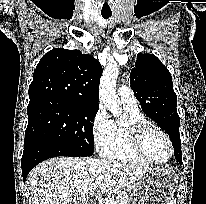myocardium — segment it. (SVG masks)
Masks as SVG:
<instances>
[{"instance_id": "1", "label": "myocardium", "mask_w": 206, "mask_h": 204, "mask_svg": "<svg viewBox=\"0 0 206 204\" xmlns=\"http://www.w3.org/2000/svg\"><path fill=\"white\" fill-rule=\"evenodd\" d=\"M150 131L158 132L166 140V142L168 144V147H169V150H170V153H169L168 158L165 161H161V162L155 161L146 152V149H145V146H144V141H145V138H146L147 134ZM131 137H132V144H133V147H134L135 151L138 153V155L140 157H142L144 160H146L150 164L165 165L173 158V155H174L173 143H172L169 135L162 128H160L159 126L154 125L150 122L140 123L138 125H135L131 129Z\"/></svg>"}]
</instances>
